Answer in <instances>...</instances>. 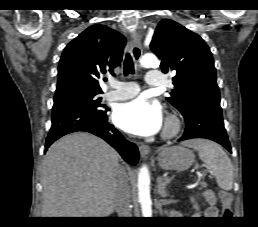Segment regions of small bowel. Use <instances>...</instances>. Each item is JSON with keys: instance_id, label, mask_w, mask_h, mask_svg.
Wrapping results in <instances>:
<instances>
[{"instance_id": "c3829d8e", "label": "small bowel", "mask_w": 258, "mask_h": 227, "mask_svg": "<svg viewBox=\"0 0 258 227\" xmlns=\"http://www.w3.org/2000/svg\"><path fill=\"white\" fill-rule=\"evenodd\" d=\"M203 199L209 204V207L200 215L207 218H215L219 215L217 208V200L215 194L211 190H207L203 193Z\"/></svg>"}]
</instances>
